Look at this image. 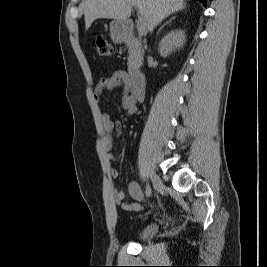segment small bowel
Returning a JSON list of instances; mask_svg holds the SVG:
<instances>
[{
	"mask_svg": "<svg viewBox=\"0 0 267 267\" xmlns=\"http://www.w3.org/2000/svg\"><path fill=\"white\" fill-rule=\"evenodd\" d=\"M132 82L128 73L124 70H117L112 75L103 77L97 84L94 90V97L99 100L102 92L104 90H113L116 88H123V96L121 105L126 115H133L137 112V101L130 94ZM102 126L104 131V137L102 140V147L106 152L109 161H116L117 155L113 150V135L115 132L119 133L121 131V124L118 121L111 119L110 115L103 112L101 115ZM109 175L112 179L118 177L119 173L115 168H110ZM129 195L136 201L134 203L125 202L126 194L122 190L114 191V201L120 204L122 208L126 211L138 212L141 210V205L139 202L144 201V194L141 186L137 182H130L128 185Z\"/></svg>",
	"mask_w": 267,
	"mask_h": 267,
	"instance_id": "obj_1",
	"label": "small bowel"
}]
</instances>
